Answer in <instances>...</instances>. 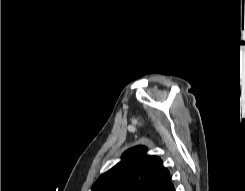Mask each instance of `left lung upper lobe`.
Returning a JSON list of instances; mask_svg holds the SVG:
<instances>
[{
    "mask_svg": "<svg viewBox=\"0 0 245 191\" xmlns=\"http://www.w3.org/2000/svg\"><path fill=\"white\" fill-rule=\"evenodd\" d=\"M145 146H135L122 155L119 163L102 174L92 191H160L171 181L161 158L146 155Z\"/></svg>",
    "mask_w": 245,
    "mask_h": 191,
    "instance_id": "1",
    "label": "left lung upper lobe"
}]
</instances>
